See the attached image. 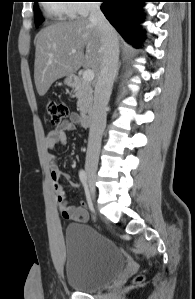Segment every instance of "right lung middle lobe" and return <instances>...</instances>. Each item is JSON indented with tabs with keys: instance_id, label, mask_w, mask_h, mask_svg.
<instances>
[{
	"instance_id": "dd1d6c3e",
	"label": "right lung middle lobe",
	"mask_w": 195,
	"mask_h": 299,
	"mask_svg": "<svg viewBox=\"0 0 195 299\" xmlns=\"http://www.w3.org/2000/svg\"><path fill=\"white\" fill-rule=\"evenodd\" d=\"M34 17H35V24L36 26H38L43 21V19L40 15V11L37 5V0H35L34 2Z\"/></svg>"
}]
</instances>
